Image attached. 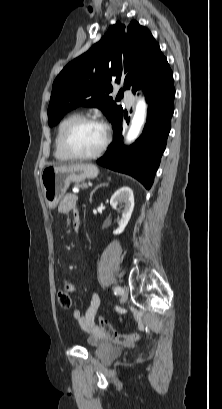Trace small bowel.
<instances>
[{
    "label": "small bowel",
    "mask_w": 222,
    "mask_h": 409,
    "mask_svg": "<svg viewBox=\"0 0 222 409\" xmlns=\"http://www.w3.org/2000/svg\"><path fill=\"white\" fill-rule=\"evenodd\" d=\"M58 211L60 213L74 212L75 226L80 229V213L77 207V198L75 194L69 193L64 196L58 205ZM66 287L71 288V293L74 295L78 292V287L74 286L70 282H66ZM100 305V299L98 295L92 294L90 304L85 314L83 315L78 309L73 311V318L79 323L81 328L89 334V343L100 344L106 341L105 333L95 324L94 317Z\"/></svg>",
    "instance_id": "small-bowel-1"
}]
</instances>
